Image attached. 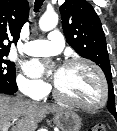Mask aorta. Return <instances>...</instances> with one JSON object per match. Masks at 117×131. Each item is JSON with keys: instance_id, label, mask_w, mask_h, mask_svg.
Instances as JSON below:
<instances>
[{"instance_id": "762f6f07", "label": "aorta", "mask_w": 117, "mask_h": 131, "mask_svg": "<svg viewBox=\"0 0 117 131\" xmlns=\"http://www.w3.org/2000/svg\"><path fill=\"white\" fill-rule=\"evenodd\" d=\"M58 23V15L56 13H45L40 18L39 27L42 31H49L56 27Z\"/></svg>"}]
</instances>
